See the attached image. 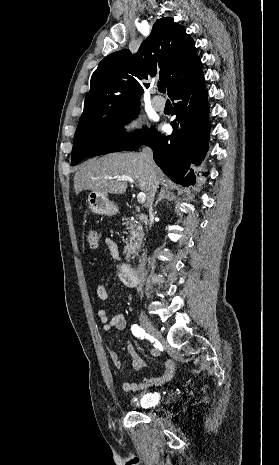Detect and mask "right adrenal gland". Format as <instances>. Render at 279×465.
Here are the masks:
<instances>
[{
  "label": "right adrenal gland",
  "mask_w": 279,
  "mask_h": 465,
  "mask_svg": "<svg viewBox=\"0 0 279 465\" xmlns=\"http://www.w3.org/2000/svg\"><path fill=\"white\" fill-rule=\"evenodd\" d=\"M176 199V196L173 192H169L165 189H161L160 190V193H159V196L154 204V207H156L158 205V203L162 200H168V201H172V200H175Z\"/></svg>",
  "instance_id": "1"
}]
</instances>
